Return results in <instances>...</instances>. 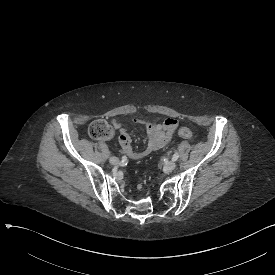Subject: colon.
Segmentation results:
<instances>
[{
    "instance_id": "obj_1",
    "label": "colon",
    "mask_w": 275,
    "mask_h": 275,
    "mask_svg": "<svg viewBox=\"0 0 275 275\" xmlns=\"http://www.w3.org/2000/svg\"><path fill=\"white\" fill-rule=\"evenodd\" d=\"M113 132V122L100 117L95 119L88 127V133L92 139L104 140L112 135ZM178 134L184 139H192L193 132L187 127H180L178 129Z\"/></svg>"
}]
</instances>
